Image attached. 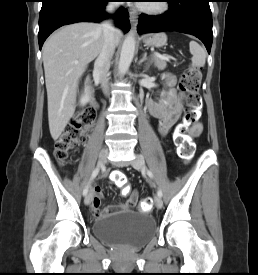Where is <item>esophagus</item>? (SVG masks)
<instances>
[{
	"label": "esophagus",
	"mask_w": 258,
	"mask_h": 275,
	"mask_svg": "<svg viewBox=\"0 0 258 275\" xmlns=\"http://www.w3.org/2000/svg\"><path fill=\"white\" fill-rule=\"evenodd\" d=\"M130 22L133 28H136L138 25V12L135 9H131L129 12Z\"/></svg>",
	"instance_id": "1"
}]
</instances>
